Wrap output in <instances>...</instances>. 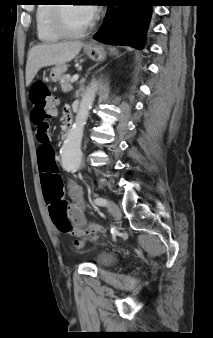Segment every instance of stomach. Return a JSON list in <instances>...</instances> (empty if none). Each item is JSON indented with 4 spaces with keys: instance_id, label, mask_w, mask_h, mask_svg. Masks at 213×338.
<instances>
[{
    "instance_id": "0dacf381",
    "label": "stomach",
    "mask_w": 213,
    "mask_h": 338,
    "mask_svg": "<svg viewBox=\"0 0 213 338\" xmlns=\"http://www.w3.org/2000/svg\"><path fill=\"white\" fill-rule=\"evenodd\" d=\"M84 53L93 60H100L105 56L106 51L101 45L89 44L84 46ZM66 70V64L56 65L55 67H53L50 72L51 81H59L62 78L63 74L66 72Z\"/></svg>"
}]
</instances>
